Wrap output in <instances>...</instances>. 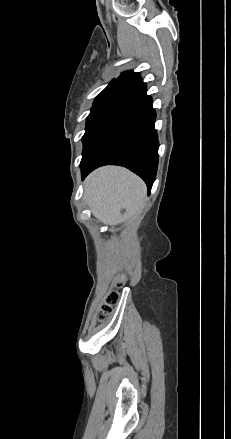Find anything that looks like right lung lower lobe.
<instances>
[{"label":"right lung lower lobe","mask_w":231,"mask_h":439,"mask_svg":"<svg viewBox=\"0 0 231 439\" xmlns=\"http://www.w3.org/2000/svg\"><path fill=\"white\" fill-rule=\"evenodd\" d=\"M135 98L142 114L109 132L82 158V179L99 166L120 165L139 175L150 193L158 166L159 143L154 128L156 113L151 96L146 91Z\"/></svg>","instance_id":"obj_1"}]
</instances>
